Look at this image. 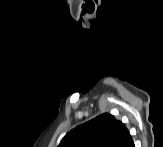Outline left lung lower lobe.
Masks as SVG:
<instances>
[{"label": "left lung lower lobe", "instance_id": "1", "mask_svg": "<svg viewBox=\"0 0 163 147\" xmlns=\"http://www.w3.org/2000/svg\"><path fill=\"white\" fill-rule=\"evenodd\" d=\"M115 147H135L134 142L130 136L129 131L126 129L119 139Z\"/></svg>", "mask_w": 163, "mask_h": 147}]
</instances>
